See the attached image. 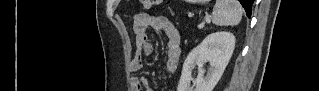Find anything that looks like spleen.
<instances>
[{
    "instance_id": "3e777b00",
    "label": "spleen",
    "mask_w": 319,
    "mask_h": 91,
    "mask_svg": "<svg viewBox=\"0 0 319 91\" xmlns=\"http://www.w3.org/2000/svg\"><path fill=\"white\" fill-rule=\"evenodd\" d=\"M243 9L237 0H217L212 12V22L217 26H235L240 23Z\"/></svg>"
}]
</instances>
